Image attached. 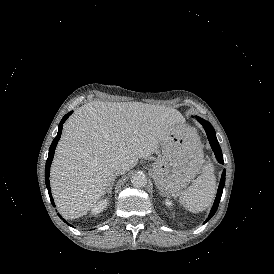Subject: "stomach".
Instances as JSON below:
<instances>
[{
	"label": "stomach",
	"mask_w": 274,
	"mask_h": 274,
	"mask_svg": "<svg viewBox=\"0 0 274 274\" xmlns=\"http://www.w3.org/2000/svg\"><path fill=\"white\" fill-rule=\"evenodd\" d=\"M194 132L186 127L178 129L168 139L161 141V155L150 167L156 186L164 195L176 196L185 189L199 173L201 166L191 147Z\"/></svg>",
	"instance_id": "1"
}]
</instances>
